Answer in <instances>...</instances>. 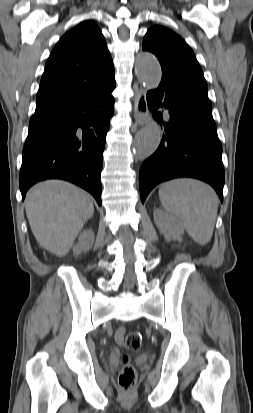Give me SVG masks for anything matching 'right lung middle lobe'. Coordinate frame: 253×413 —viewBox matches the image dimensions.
I'll return each instance as SVG.
<instances>
[{
	"label": "right lung middle lobe",
	"instance_id": "1",
	"mask_svg": "<svg viewBox=\"0 0 253 413\" xmlns=\"http://www.w3.org/2000/svg\"><path fill=\"white\" fill-rule=\"evenodd\" d=\"M53 116L32 117L29 124V130L41 127L47 124Z\"/></svg>",
	"mask_w": 253,
	"mask_h": 413
}]
</instances>
